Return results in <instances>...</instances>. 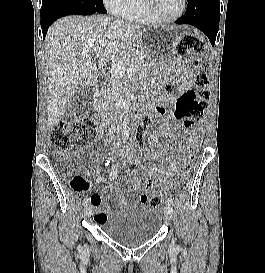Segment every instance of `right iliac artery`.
<instances>
[{"mask_svg": "<svg viewBox=\"0 0 265 273\" xmlns=\"http://www.w3.org/2000/svg\"><path fill=\"white\" fill-rule=\"evenodd\" d=\"M89 202H90L89 198H85L83 201V204L87 206Z\"/></svg>", "mask_w": 265, "mask_h": 273, "instance_id": "82829eb1", "label": "right iliac artery"}]
</instances>
